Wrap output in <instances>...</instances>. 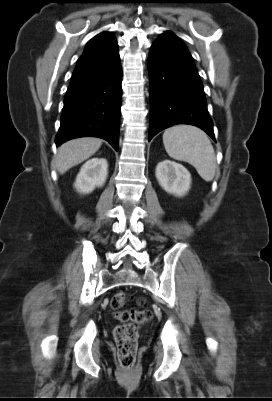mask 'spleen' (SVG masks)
I'll return each instance as SVG.
<instances>
[{
	"mask_svg": "<svg viewBox=\"0 0 272 401\" xmlns=\"http://www.w3.org/2000/svg\"><path fill=\"white\" fill-rule=\"evenodd\" d=\"M163 144L168 155L191 164L206 182L213 180L216 156L207 135L197 127L178 125L163 133Z\"/></svg>",
	"mask_w": 272,
	"mask_h": 401,
	"instance_id": "3e777b00",
	"label": "spleen"
}]
</instances>
